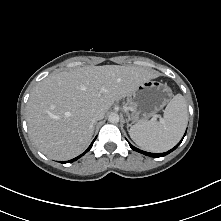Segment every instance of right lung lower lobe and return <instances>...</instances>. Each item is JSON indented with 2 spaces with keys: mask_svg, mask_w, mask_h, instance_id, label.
I'll return each mask as SVG.
<instances>
[{
  "mask_svg": "<svg viewBox=\"0 0 221 221\" xmlns=\"http://www.w3.org/2000/svg\"><path fill=\"white\" fill-rule=\"evenodd\" d=\"M95 141V139L93 140V142ZM93 142L91 143V145L88 147V149L83 153V154H81V155H79L78 157H76V158H74V159H72V160H69V161H61V163H70V162H73V161H76V160H78L81 156H83L86 152H88L90 149H91V147H92V145H93Z\"/></svg>",
  "mask_w": 221,
  "mask_h": 221,
  "instance_id": "1",
  "label": "right lung lower lobe"
}]
</instances>
